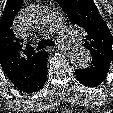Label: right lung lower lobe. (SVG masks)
I'll use <instances>...</instances> for the list:
<instances>
[{
    "label": "right lung lower lobe",
    "mask_w": 113,
    "mask_h": 113,
    "mask_svg": "<svg viewBox=\"0 0 113 113\" xmlns=\"http://www.w3.org/2000/svg\"><path fill=\"white\" fill-rule=\"evenodd\" d=\"M47 57L48 54L35 79L20 91L25 93H33L39 91L44 86L47 78Z\"/></svg>",
    "instance_id": "right-lung-lower-lobe-1"
}]
</instances>
